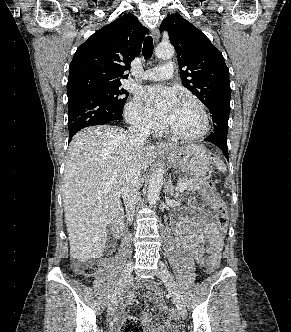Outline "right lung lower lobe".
Wrapping results in <instances>:
<instances>
[{
    "label": "right lung lower lobe",
    "mask_w": 291,
    "mask_h": 332,
    "mask_svg": "<svg viewBox=\"0 0 291 332\" xmlns=\"http://www.w3.org/2000/svg\"><path fill=\"white\" fill-rule=\"evenodd\" d=\"M122 113L123 109L92 92L68 96L69 140L85 127L119 123L123 119Z\"/></svg>",
    "instance_id": "right-lung-lower-lobe-1"
}]
</instances>
